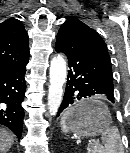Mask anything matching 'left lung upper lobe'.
<instances>
[{
    "mask_svg": "<svg viewBox=\"0 0 130 153\" xmlns=\"http://www.w3.org/2000/svg\"><path fill=\"white\" fill-rule=\"evenodd\" d=\"M61 34L76 39L96 51L109 65L110 57L105 42L100 35L77 18H68L59 29Z\"/></svg>",
    "mask_w": 130,
    "mask_h": 153,
    "instance_id": "1",
    "label": "left lung upper lobe"
}]
</instances>
